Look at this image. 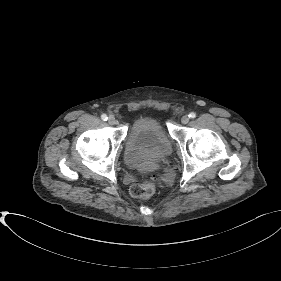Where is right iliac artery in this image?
Masks as SVG:
<instances>
[{
    "instance_id": "82829eb1",
    "label": "right iliac artery",
    "mask_w": 281,
    "mask_h": 281,
    "mask_svg": "<svg viewBox=\"0 0 281 281\" xmlns=\"http://www.w3.org/2000/svg\"><path fill=\"white\" fill-rule=\"evenodd\" d=\"M101 119H102L103 121H107L108 117H107L106 114H103V115H101Z\"/></svg>"
}]
</instances>
